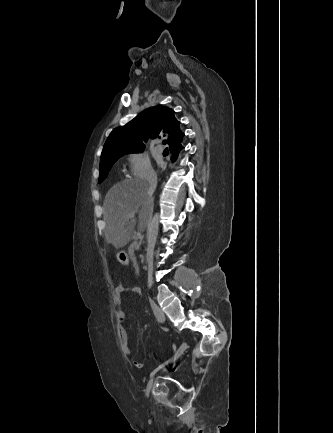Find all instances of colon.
<instances>
[{
  "label": "colon",
  "mask_w": 333,
  "mask_h": 433,
  "mask_svg": "<svg viewBox=\"0 0 333 433\" xmlns=\"http://www.w3.org/2000/svg\"><path fill=\"white\" fill-rule=\"evenodd\" d=\"M115 262L118 265H121L124 269H127L130 266V263L127 261V251L126 249H115L114 251Z\"/></svg>",
  "instance_id": "obj_1"
}]
</instances>
